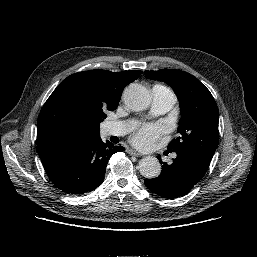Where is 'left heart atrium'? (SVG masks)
Wrapping results in <instances>:
<instances>
[{"mask_svg":"<svg viewBox=\"0 0 257 257\" xmlns=\"http://www.w3.org/2000/svg\"><path fill=\"white\" fill-rule=\"evenodd\" d=\"M163 128L160 125H142L131 136L132 143L142 149L155 145L162 136Z\"/></svg>","mask_w":257,"mask_h":257,"instance_id":"1","label":"left heart atrium"}]
</instances>
